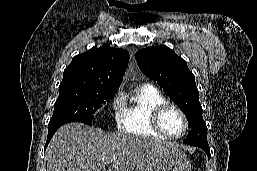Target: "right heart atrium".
Returning <instances> with one entry per match:
<instances>
[{
  "instance_id": "d8ad5b80",
  "label": "right heart atrium",
  "mask_w": 257,
  "mask_h": 171,
  "mask_svg": "<svg viewBox=\"0 0 257 171\" xmlns=\"http://www.w3.org/2000/svg\"><path fill=\"white\" fill-rule=\"evenodd\" d=\"M123 108H124V105H123L122 97L119 94L115 95L111 100V110H112L114 120L117 122V124H119L120 119L122 117Z\"/></svg>"
}]
</instances>
